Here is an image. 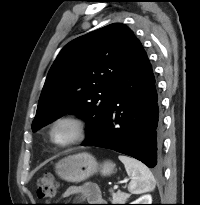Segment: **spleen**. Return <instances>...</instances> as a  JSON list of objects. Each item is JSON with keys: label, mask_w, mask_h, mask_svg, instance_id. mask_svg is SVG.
I'll use <instances>...</instances> for the list:
<instances>
[{"label": "spleen", "mask_w": 200, "mask_h": 205, "mask_svg": "<svg viewBox=\"0 0 200 205\" xmlns=\"http://www.w3.org/2000/svg\"><path fill=\"white\" fill-rule=\"evenodd\" d=\"M119 160L124 164L127 174L131 177L128 190L132 194H141L154 190L156 181L150 169L142 162L124 155Z\"/></svg>", "instance_id": "obj_1"}]
</instances>
